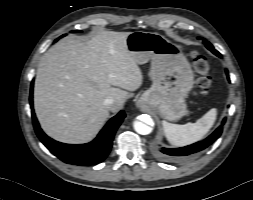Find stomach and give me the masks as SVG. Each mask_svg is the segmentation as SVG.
<instances>
[{
  "mask_svg": "<svg viewBox=\"0 0 253 200\" xmlns=\"http://www.w3.org/2000/svg\"><path fill=\"white\" fill-rule=\"evenodd\" d=\"M126 44L137 64L151 60L153 84L139 98V106L170 121L184 116L194 74L180 47L158 33L143 31L132 32Z\"/></svg>",
  "mask_w": 253,
  "mask_h": 200,
  "instance_id": "1",
  "label": "stomach"
}]
</instances>
